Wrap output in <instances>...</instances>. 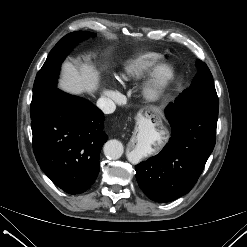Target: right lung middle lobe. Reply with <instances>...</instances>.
Here are the masks:
<instances>
[{
	"instance_id": "obj_1",
	"label": "right lung middle lobe",
	"mask_w": 247,
	"mask_h": 247,
	"mask_svg": "<svg viewBox=\"0 0 247 247\" xmlns=\"http://www.w3.org/2000/svg\"><path fill=\"white\" fill-rule=\"evenodd\" d=\"M94 33L77 31L67 34L51 50L44 65L36 75L31 102V119H33L48 103L52 94L57 90V79L62 61L80 41Z\"/></svg>"
}]
</instances>
